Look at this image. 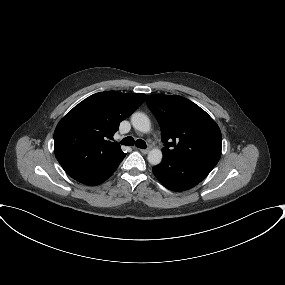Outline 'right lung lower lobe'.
<instances>
[{
  "mask_svg": "<svg viewBox=\"0 0 285 285\" xmlns=\"http://www.w3.org/2000/svg\"><path fill=\"white\" fill-rule=\"evenodd\" d=\"M126 154L121 157L103 164H81L78 161L62 163L65 172L76 181L85 185H99L107 180L117 169Z\"/></svg>",
  "mask_w": 285,
  "mask_h": 285,
  "instance_id": "98d812e1",
  "label": "right lung lower lobe"
}]
</instances>
